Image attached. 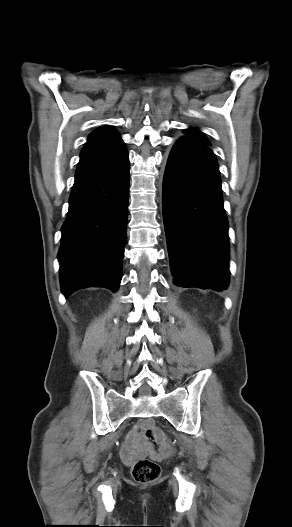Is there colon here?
<instances>
[{
  "instance_id": "5ec220e1",
  "label": "colon",
  "mask_w": 292,
  "mask_h": 527,
  "mask_svg": "<svg viewBox=\"0 0 292 527\" xmlns=\"http://www.w3.org/2000/svg\"><path fill=\"white\" fill-rule=\"evenodd\" d=\"M143 433L147 438V442L151 447L157 444V439L161 435L156 433V427L152 421H145L140 424ZM161 475L160 466L154 461L141 458L138 459L132 466V476L135 481L139 483H151L156 481Z\"/></svg>"
}]
</instances>
